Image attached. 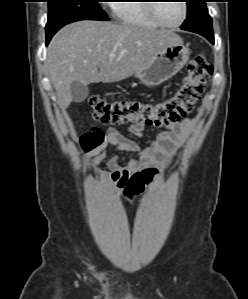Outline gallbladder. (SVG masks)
I'll use <instances>...</instances> for the list:
<instances>
[{
    "label": "gallbladder",
    "instance_id": "obj_1",
    "mask_svg": "<svg viewBox=\"0 0 248 299\" xmlns=\"http://www.w3.org/2000/svg\"><path fill=\"white\" fill-rule=\"evenodd\" d=\"M70 93L75 103H81L88 96L89 89L86 85H83L78 81H74L70 85Z\"/></svg>",
    "mask_w": 248,
    "mask_h": 299
}]
</instances>
